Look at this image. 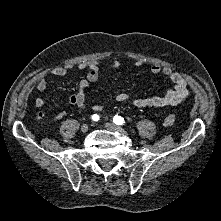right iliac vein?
<instances>
[{
  "label": "right iliac vein",
  "instance_id": "1",
  "mask_svg": "<svg viewBox=\"0 0 221 221\" xmlns=\"http://www.w3.org/2000/svg\"><path fill=\"white\" fill-rule=\"evenodd\" d=\"M88 125L87 124H83L82 126H81V131L83 132V133H86L87 131H88Z\"/></svg>",
  "mask_w": 221,
  "mask_h": 221
}]
</instances>
